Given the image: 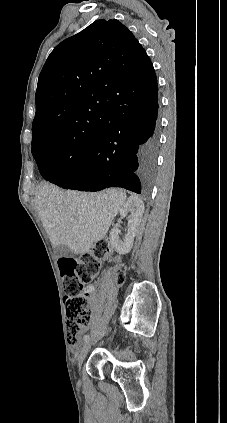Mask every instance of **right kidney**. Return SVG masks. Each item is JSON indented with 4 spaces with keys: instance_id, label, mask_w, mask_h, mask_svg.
I'll return each instance as SVG.
<instances>
[{
    "instance_id": "obj_1",
    "label": "right kidney",
    "mask_w": 227,
    "mask_h": 423,
    "mask_svg": "<svg viewBox=\"0 0 227 423\" xmlns=\"http://www.w3.org/2000/svg\"><path fill=\"white\" fill-rule=\"evenodd\" d=\"M129 211L130 217L128 219L127 233H125L124 239L119 237V233H121V229H119V227H112L109 235L111 245H113L115 251H117V253H121V255L131 251L134 237L137 235V231L143 217L144 204L140 196H131V198H128L127 202H125L123 208L120 210V215L125 217Z\"/></svg>"
}]
</instances>
